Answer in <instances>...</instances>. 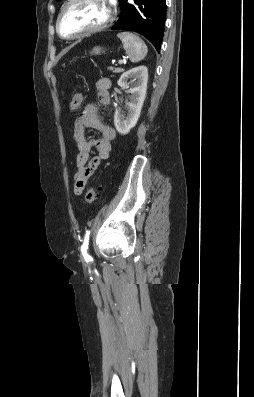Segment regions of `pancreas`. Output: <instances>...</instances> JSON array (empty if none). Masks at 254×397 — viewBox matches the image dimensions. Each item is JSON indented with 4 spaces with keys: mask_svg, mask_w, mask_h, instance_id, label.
<instances>
[{
    "mask_svg": "<svg viewBox=\"0 0 254 397\" xmlns=\"http://www.w3.org/2000/svg\"><path fill=\"white\" fill-rule=\"evenodd\" d=\"M110 71H113L114 73H121L124 71V69L122 68H113V67H109L108 68Z\"/></svg>",
    "mask_w": 254,
    "mask_h": 397,
    "instance_id": "cf45deb5",
    "label": "pancreas"
}]
</instances>
